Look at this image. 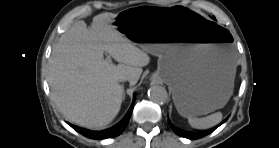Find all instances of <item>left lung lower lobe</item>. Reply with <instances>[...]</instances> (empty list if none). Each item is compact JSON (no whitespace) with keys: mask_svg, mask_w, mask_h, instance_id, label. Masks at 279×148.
Here are the masks:
<instances>
[{"mask_svg":"<svg viewBox=\"0 0 279 148\" xmlns=\"http://www.w3.org/2000/svg\"><path fill=\"white\" fill-rule=\"evenodd\" d=\"M223 122H224V121H223ZM223 122H222V123H223ZM222 123H221V124H222ZM169 124H170L172 130H173L177 135H179V136H181V137H185V138L191 139V140L204 137V136L210 134L211 132H213L219 125H221V124H219V125L216 126L215 128H213V129H211V130H208V131H205V132L196 133V132H189V131H184V130L178 129V128L174 127V126L171 124L170 121H169Z\"/></svg>","mask_w":279,"mask_h":148,"instance_id":"1","label":"left lung lower lobe"}]
</instances>
